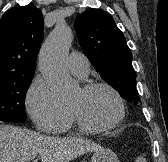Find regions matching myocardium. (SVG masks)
Masks as SVG:
<instances>
[{"label": "myocardium", "mask_w": 168, "mask_h": 162, "mask_svg": "<svg viewBox=\"0 0 168 162\" xmlns=\"http://www.w3.org/2000/svg\"><path fill=\"white\" fill-rule=\"evenodd\" d=\"M96 89H105V90L109 91L113 95V97L117 103V108H118L117 115L110 123L105 124V125L90 124L87 121H85L79 115V113L72 107H70V113H71L74 121L78 125V127L86 132L99 133V132H106V131L113 130L121 124V122L123 121V119L125 117L124 100H123L122 96L120 95V93L113 86H111L110 84L105 83V82H92V83L84 85L81 88V90L85 93L94 91Z\"/></svg>", "instance_id": "obj_1"}]
</instances>
